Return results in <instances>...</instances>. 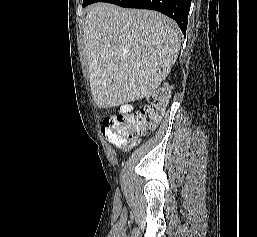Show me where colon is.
Segmentation results:
<instances>
[{
  "mask_svg": "<svg viewBox=\"0 0 257 237\" xmlns=\"http://www.w3.org/2000/svg\"><path fill=\"white\" fill-rule=\"evenodd\" d=\"M172 92L169 85L156 91L149 103L135 114L116 113L103 120L101 134L108 140H130L137 135L153 130L162 117Z\"/></svg>",
  "mask_w": 257,
  "mask_h": 237,
  "instance_id": "obj_1",
  "label": "colon"
}]
</instances>
